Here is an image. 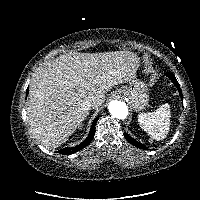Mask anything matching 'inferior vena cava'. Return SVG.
Returning <instances> with one entry per match:
<instances>
[{"mask_svg":"<svg viewBox=\"0 0 200 200\" xmlns=\"http://www.w3.org/2000/svg\"><path fill=\"white\" fill-rule=\"evenodd\" d=\"M81 106L84 110H89V109L93 108L94 105H93L92 100L87 98L82 102Z\"/></svg>","mask_w":200,"mask_h":200,"instance_id":"1","label":"inferior vena cava"}]
</instances>
